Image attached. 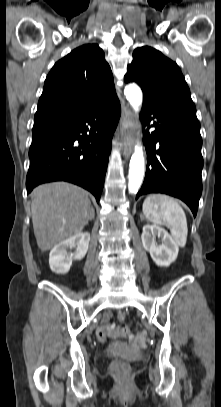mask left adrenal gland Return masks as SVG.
Listing matches in <instances>:
<instances>
[{"label":"left adrenal gland","instance_id":"obj_1","mask_svg":"<svg viewBox=\"0 0 221 407\" xmlns=\"http://www.w3.org/2000/svg\"><path fill=\"white\" fill-rule=\"evenodd\" d=\"M140 218L142 221L144 220V216L142 214H140Z\"/></svg>","mask_w":221,"mask_h":407}]
</instances>
